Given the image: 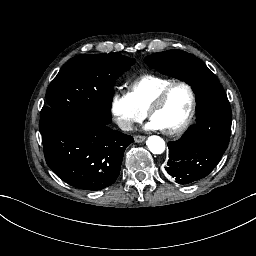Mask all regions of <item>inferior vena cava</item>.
Segmentation results:
<instances>
[{"label":"inferior vena cava","mask_w":256,"mask_h":256,"mask_svg":"<svg viewBox=\"0 0 256 256\" xmlns=\"http://www.w3.org/2000/svg\"><path fill=\"white\" fill-rule=\"evenodd\" d=\"M116 123H117L118 127L123 131L132 130V123L129 120L124 119L123 117H118L116 119Z\"/></svg>","instance_id":"1"}]
</instances>
